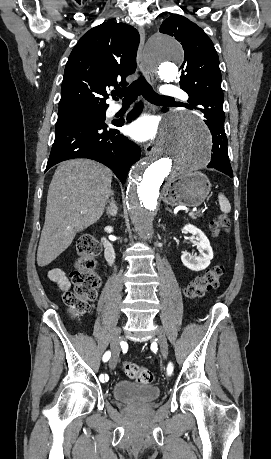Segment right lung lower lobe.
<instances>
[{
    "label": "right lung lower lobe",
    "instance_id": "obj_1",
    "mask_svg": "<svg viewBox=\"0 0 271 459\" xmlns=\"http://www.w3.org/2000/svg\"><path fill=\"white\" fill-rule=\"evenodd\" d=\"M140 104L130 112L128 121L140 112ZM123 121L81 122L56 130L55 141L45 172L55 164L68 159L88 158L109 168L122 183H125L132 164L140 158V147L119 134L113 126H122Z\"/></svg>",
    "mask_w": 271,
    "mask_h": 459
}]
</instances>
